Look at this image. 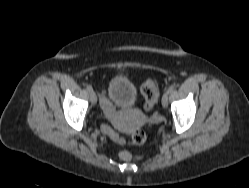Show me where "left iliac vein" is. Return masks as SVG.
Here are the masks:
<instances>
[{
	"label": "left iliac vein",
	"instance_id": "obj_1",
	"mask_svg": "<svg viewBox=\"0 0 249 188\" xmlns=\"http://www.w3.org/2000/svg\"><path fill=\"white\" fill-rule=\"evenodd\" d=\"M168 93L165 92L162 96V106L166 108L168 106Z\"/></svg>",
	"mask_w": 249,
	"mask_h": 188
}]
</instances>
